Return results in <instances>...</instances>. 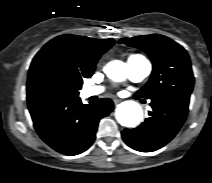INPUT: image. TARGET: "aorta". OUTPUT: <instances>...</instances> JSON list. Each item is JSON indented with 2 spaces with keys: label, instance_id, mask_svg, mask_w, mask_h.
I'll return each mask as SVG.
<instances>
[{
  "label": "aorta",
  "instance_id": "762f6f07",
  "mask_svg": "<svg viewBox=\"0 0 212 183\" xmlns=\"http://www.w3.org/2000/svg\"><path fill=\"white\" fill-rule=\"evenodd\" d=\"M127 71V66L124 62L114 60L105 66L107 76L115 81L122 80ZM143 118V110L135 101H125L116 109L117 121L125 127H135Z\"/></svg>",
  "mask_w": 212,
  "mask_h": 183
}]
</instances>
